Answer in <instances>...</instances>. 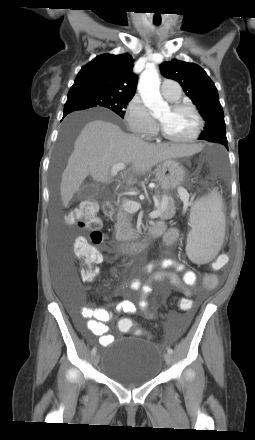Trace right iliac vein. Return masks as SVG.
Returning a JSON list of instances; mask_svg holds the SVG:
<instances>
[{"label":"right iliac vein","instance_id":"obj_1","mask_svg":"<svg viewBox=\"0 0 255 440\" xmlns=\"http://www.w3.org/2000/svg\"><path fill=\"white\" fill-rule=\"evenodd\" d=\"M98 362H99V356L98 355H93V357H92V364L94 365V366H96L97 364H98Z\"/></svg>","mask_w":255,"mask_h":440}]
</instances>
